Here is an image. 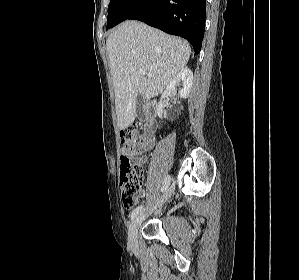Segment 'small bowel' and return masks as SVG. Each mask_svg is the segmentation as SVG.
Segmentation results:
<instances>
[{
    "label": "small bowel",
    "instance_id": "small-bowel-1",
    "mask_svg": "<svg viewBox=\"0 0 299 280\" xmlns=\"http://www.w3.org/2000/svg\"><path fill=\"white\" fill-rule=\"evenodd\" d=\"M154 143V139L150 135H146L144 136L141 143L128 148H124L123 151L127 155L136 156L150 150L154 146ZM138 162L142 164L144 162V158H139Z\"/></svg>",
    "mask_w": 299,
    "mask_h": 280
}]
</instances>
